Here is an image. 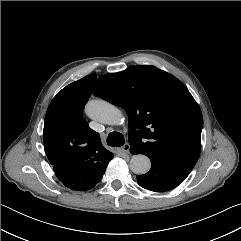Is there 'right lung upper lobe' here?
Segmentation results:
<instances>
[{
    "instance_id": "cb5924a9",
    "label": "right lung upper lobe",
    "mask_w": 241,
    "mask_h": 241,
    "mask_svg": "<svg viewBox=\"0 0 241 241\" xmlns=\"http://www.w3.org/2000/svg\"><path fill=\"white\" fill-rule=\"evenodd\" d=\"M96 74L67 85L46 112L43 141L49 162L107 164L113 153L105 149L97 132L89 128L82 110L91 95Z\"/></svg>"
}]
</instances>
